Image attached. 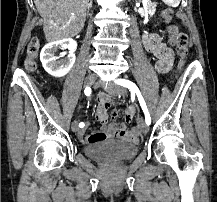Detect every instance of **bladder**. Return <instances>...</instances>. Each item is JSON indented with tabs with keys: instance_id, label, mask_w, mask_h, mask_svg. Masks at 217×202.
Masks as SVG:
<instances>
[{
	"instance_id": "obj_1",
	"label": "bladder",
	"mask_w": 217,
	"mask_h": 202,
	"mask_svg": "<svg viewBox=\"0 0 217 202\" xmlns=\"http://www.w3.org/2000/svg\"><path fill=\"white\" fill-rule=\"evenodd\" d=\"M138 144L125 140H108L85 146L87 157L125 161L137 155Z\"/></svg>"
}]
</instances>
